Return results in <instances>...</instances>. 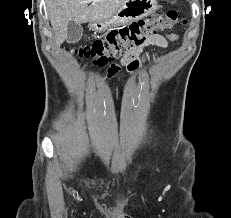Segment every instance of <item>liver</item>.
I'll return each instance as SVG.
<instances>
[{"mask_svg": "<svg viewBox=\"0 0 231 218\" xmlns=\"http://www.w3.org/2000/svg\"><path fill=\"white\" fill-rule=\"evenodd\" d=\"M126 0H46L55 43L60 46L67 39L70 21L78 24L102 22L110 19ZM91 5H89V3Z\"/></svg>", "mask_w": 231, "mask_h": 218, "instance_id": "liver-1", "label": "liver"}]
</instances>
